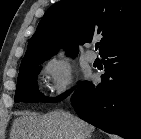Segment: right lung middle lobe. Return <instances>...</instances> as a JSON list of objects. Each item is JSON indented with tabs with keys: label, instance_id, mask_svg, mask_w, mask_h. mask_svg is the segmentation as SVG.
Segmentation results:
<instances>
[{
	"label": "right lung middle lobe",
	"instance_id": "right-lung-middle-lobe-1",
	"mask_svg": "<svg viewBox=\"0 0 141 139\" xmlns=\"http://www.w3.org/2000/svg\"><path fill=\"white\" fill-rule=\"evenodd\" d=\"M38 65L40 64L20 68L17 79L15 102L54 103L65 99L69 95V92H66L57 98H48L39 93L36 83L37 74L40 71V66Z\"/></svg>",
	"mask_w": 141,
	"mask_h": 139
}]
</instances>
